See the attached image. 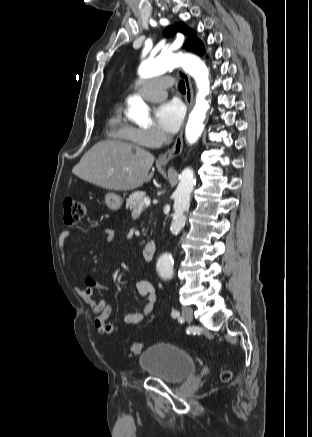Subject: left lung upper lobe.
Instances as JSON below:
<instances>
[{"instance_id":"5c2ea615","label":"left lung upper lobe","mask_w":312,"mask_h":437,"mask_svg":"<svg viewBox=\"0 0 312 437\" xmlns=\"http://www.w3.org/2000/svg\"><path fill=\"white\" fill-rule=\"evenodd\" d=\"M182 32L189 34V39L186 41L185 48L188 51H192L199 55L204 54V46L202 42L196 37L193 30L187 28L183 23L176 24L175 26H169L165 30V34L168 36L174 35L176 32Z\"/></svg>"}]
</instances>
